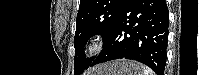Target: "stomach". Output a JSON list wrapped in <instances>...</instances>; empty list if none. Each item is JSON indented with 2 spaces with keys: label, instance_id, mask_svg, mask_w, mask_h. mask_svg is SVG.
Here are the masks:
<instances>
[{
  "label": "stomach",
  "instance_id": "obj_1",
  "mask_svg": "<svg viewBox=\"0 0 199 75\" xmlns=\"http://www.w3.org/2000/svg\"><path fill=\"white\" fill-rule=\"evenodd\" d=\"M140 65L131 61H114L96 66L91 75H139Z\"/></svg>",
  "mask_w": 199,
  "mask_h": 75
}]
</instances>
